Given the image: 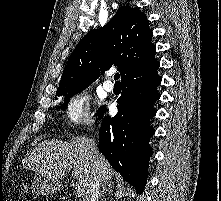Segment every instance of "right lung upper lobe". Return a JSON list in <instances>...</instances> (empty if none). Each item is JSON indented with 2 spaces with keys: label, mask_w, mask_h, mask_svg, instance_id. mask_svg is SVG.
<instances>
[{
  "label": "right lung upper lobe",
  "mask_w": 221,
  "mask_h": 201,
  "mask_svg": "<svg viewBox=\"0 0 221 201\" xmlns=\"http://www.w3.org/2000/svg\"><path fill=\"white\" fill-rule=\"evenodd\" d=\"M147 16L124 6L103 27L91 30L77 44L63 71L56 95L83 90L100 71L118 66L122 81L144 72L157 60Z\"/></svg>",
  "instance_id": "obj_1"
}]
</instances>
